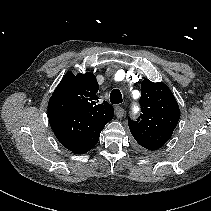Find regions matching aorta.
I'll list each match as a JSON object with an SVG mask.
<instances>
[{"mask_svg": "<svg viewBox=\"0 0 211 211\" xmlns=\"http://www.w3.org/2000/svg\"><path fill=\"white\" fill-rule=\"evenodd\" d=\"M134 111H135V113L138 111L137 106H134Z\"/></svg>", "mask_w": 211, "mask_h": 211, "instance_id": "obj_1", "label": "aorta"}]
</instances>
